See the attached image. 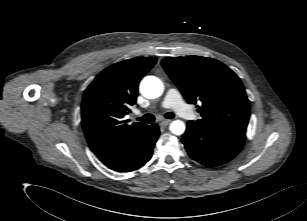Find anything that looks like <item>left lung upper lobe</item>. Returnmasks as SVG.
I'll list each match as a JSON object with an SVG mask.
<instances>
[{"mask_svg": "<svg viewBox=\"0 0 307 221\" xmlns=\"http://www.w3.org/2000/svg\"><path fill=\"white\" fill-rule=\"evenodd\" d=\"M161 63L188 103L201 102L198 124L246 132L250 102L230 68L200 56L167 57Z\"/></svg>", "mask_w": 307, "mask_h": 221, "instance_id": "5c2ea615", "label": "left lung upper lobe"}]
</instances>
